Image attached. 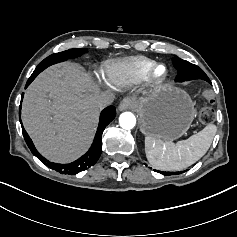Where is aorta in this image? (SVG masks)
<instances>
[{
  "mask_svg": "<svg viewBox=\"0 0 237 237\" xmlns=\"http://www.w3.org/2000/svg\"><path fill=\"white\" fill-rule=\"evenodd\" d=\"M120 126L125 130H132L136 126V117L130 112H125L119 117Z\"/></svg>",
  "mask_w": 237,
  "mask_h": 237,
  "instance_id": "aorta-1",
  "label": "aorta"
}]
</instances>
